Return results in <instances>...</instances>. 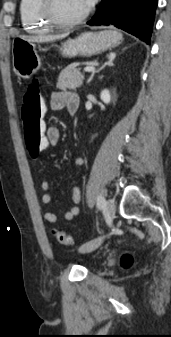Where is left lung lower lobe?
<instances>
[{
    "label": "left lung lower lobe",
    "mask_w": 171,
    "mask_h": 337,
    "mask_svg": "<svg viewBox=\"0 0 171 337\" xmlns=\"http://www.w3.org/2000/svg\"><path fill=\"white\" fill-rule=\"evenodd\" d=\"M157 0H102L88 25H114L150 44Z\"/></svg>",
    "instance_id": "1"
}]
</instances>
